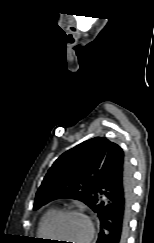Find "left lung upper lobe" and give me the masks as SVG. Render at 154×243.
<instances>
[{
	"label": "left lung upper lobe",
	"mask_w": 154,
	"mask_h": 243,
	"mask_svg": "<svg viewBox=\"0 0 154 243\" xmlns=\"http://www.w3.org/2000/svg\"><path fill=\"white\" fill-rule=\"evenodd\" d=\"M112 147L119 146L104 137H95L63 153L44 177L33 209L54 199L72 198L93 210L98 174Z\"/></svg>",
	"instance_id": "obj_1"
}]
</instances>
